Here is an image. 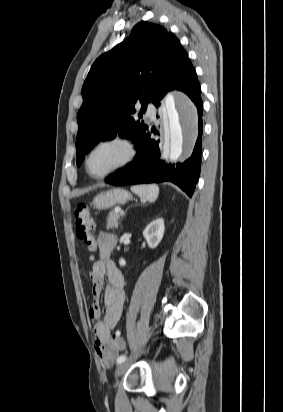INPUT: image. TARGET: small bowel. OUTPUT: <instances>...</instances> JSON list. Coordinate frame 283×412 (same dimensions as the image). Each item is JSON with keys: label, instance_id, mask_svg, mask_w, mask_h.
<instances>
[{"label": "small bowel", "instance_id": "1", "mask_svg": "<svg viewBox=\"0 0 283 412\" xmlns=\"http://www.w3.org/2000/svg\"><path fill=\"white\" fill-rule=\"evenodd\" d=\"M116 244L115 235L104 231L99 232L96 236L99 258L93 262L89 271L94 297L93 304L89 309V316L95 320L93 344L98 357L107 366L113 364L117 352L105 354L103 348L110 338L111 331L116 328L121 318L125 301L124 277L111 258ZM105 279L108 281L107 285H105ZM102 294L105 312L101 318L100 297Z\"/></svg>", "mask_w": 283, "mask_h": 412}]
</instances>
